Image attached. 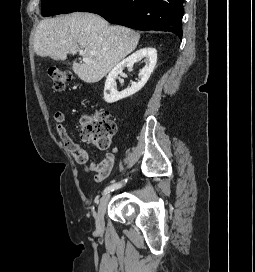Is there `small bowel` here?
Wrapping results in <instances>:
<instances>
[{"label":"small bowel","mask_w":255,"mask_h":272,"mask_svg":"<svg viewBox=\"0 0 255 272\" xmlns=\"http://www.w3.org/2000/svg\"><path fill=\"white\" fill-rule=\"evenodd\" d=\"M53 119L56 132L61 138L65 148L73 155L75 161L83 166L86 172H95L94 178L96 182H102L109 175L114 165L116 149H114L113 152L107 153L101 160L90 161L88 151L69 136L64 125V114L62 112H56Z\"/></svg>","instance_id":"small-bowel-1"}]
</instances>
